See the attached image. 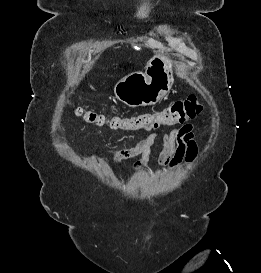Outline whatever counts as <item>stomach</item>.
<instances>
[{"instance_id": "1", "label": "stomach", "mask_w": 261, "mask_h": 273, "mask_svg": "<svg viewBox=\"0 0 261 273\" xmlns=\"http://www.w3.org/2000/svg\"><path fill=\"white\" fill-rule=\"evenodd\" d=\"M173 82L171 59L157 54L149 60L144 72L136 71L122 78L114 93L129 107L154 105L171 90Z\"/></svg>"}]
</instances>
